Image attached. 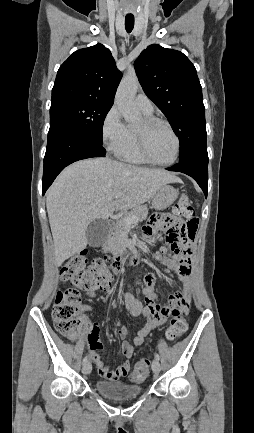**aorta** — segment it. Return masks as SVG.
I'll return each instance as SVG.
<instances>
[{"label":"aorta","instance_id":"1","mask_svg":"<svg viewBox=\"0 0 254 433\" xmlns=\"http://www.w3.org/2000/svg\"><path fill=\"white\" fill-rule=\"evenodd\" d=\"M138 86L139 81L135 73H129L122 79L115 96V103L119 111L130 125L138 123L141 118L134 102Z\"/></svg>","mask_w":254,"mask_h":433}]
</instances>
